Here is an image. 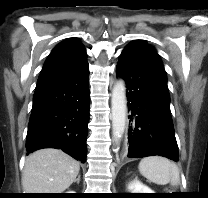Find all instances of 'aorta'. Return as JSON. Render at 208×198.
<instances>
[{"label":"aorta","mask_w":208,"mask_h":198,"mask_svg":"<svg viewBox=\"0 0 208 198\" xmlns=\"http://www.w3.org/2000/svg\"><path fill=\"white\" fill-rule=\"evenodd\" d=\"M126 87L123 80H118L112 90L111 112L112 132L114 141L121 140L125 130L126 122Z\"/></svg>","instance_id":"obj_1"}]
</instances>
